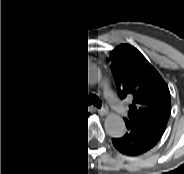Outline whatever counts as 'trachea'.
<instances>
[{"instance_id":"trachea-1","label":"trachea","mask_w":184,"mask_h":174,"mask_svg":"<svg viewBox=\"0 0 184 174\" xmlns=\"http://www.w3.org/2000/svg\"><path fill=\"white\" fill-rule=\"evenodd\" d=\"M89 99H90V101H91L93 104L98 105V99H97L96 97L91 96V97H89Z\"/></svg>"}]
</instances>
